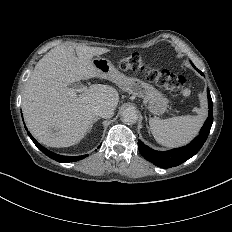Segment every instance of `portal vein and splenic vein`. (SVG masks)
Instances as JSON below:
<instances>
[{
  "label": "portal vein and splenic vein",
  "instance_id": "portal-vein-and-splenic-vein-1",
  "mask_svg": "<svg viewBox=\"0 0 232 232\" xmlns=\"http://www.w3.org/2000/svg\"><path fill=\"white\" fill-rule=\"evenodd\" d=\"M83 89V88H82ZM82 89H80L79 87L77 88V87H75V88H69V94L71 95V96H74V95H76V92H82ZM85 89V88H84Z\"/></svg>",
  "mask_w": 232,
  "mask_h": 232
}]
</instances>
